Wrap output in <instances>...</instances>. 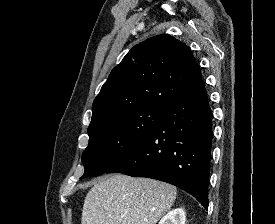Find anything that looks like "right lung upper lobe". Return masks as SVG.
Listing matches in <instances>:
<instances>
[{
	"mask_svg": "<svg viewBox=\"0 0 275 224\" xmlns=\"http://www.w3.org/2000/svg\"><path fill=\"white\" fill-rule=\"evenodd\" d=\"M191 49L170 35L131 48L110 73L92 106L89 127L144 107L167 109L201 80Z\"/></svg>",
	"mask_w": 275,
	"mask_h": 224,
	"instance_id": "obj_1",
	"label": "right lung upper lobe"
}]
</instances>
